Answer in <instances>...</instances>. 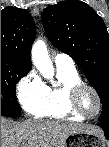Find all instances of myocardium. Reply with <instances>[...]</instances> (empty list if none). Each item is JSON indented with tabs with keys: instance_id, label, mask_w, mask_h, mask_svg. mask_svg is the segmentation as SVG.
<instances>
[{
	"instance_id": "1",
	"label": "myocardium",
	"mask_w": 109,
	"mask_h": 147,
	"mask_svg": "<svg viewBox=\"0 0 109 147\" xmlns=\"http://www.w3.org/2000/svg\"><path fill=\"white\" fill-rule=\"evenodd\" d=\"M84 90H89L90 92H92L97 100V110H96L95 114H93V115L86 114L82 110V108L80 107L79 100H80V96ZM69 103H70L72 110L76 114H78L86 119H91V118L97 116L99 114V112L101 111V107H102L101 97H100L99 93L97 92V90L94 87H92L84 82L77 83L71 88L70 93H69Z\"/></svg>"
}]
</instances>
